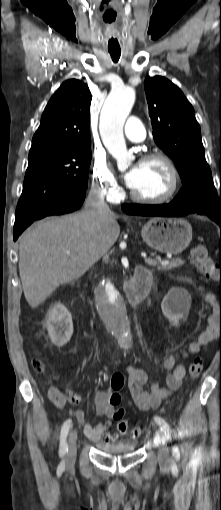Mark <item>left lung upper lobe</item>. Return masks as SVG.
I'll return each instance as SVG.
<instances>
[{"instance_id": "left-lung-upper-lobe-1", "label": "left lung upper lobe", "mask_w": 221, "mask_h": 510, "mask_svg": "<svg viewBox=\"0 0 221 510\" xmlns=\"http://www.w3.org/2000/svg\"><path fill=\"white\" fill-rule=\"evenodd\" d=\"M144 86L154 140L175 162L183 184L171 204L184 209H221V193L217 194L204 156L192 105L164 77H147Z\"/></svg>"}]
</instances>
